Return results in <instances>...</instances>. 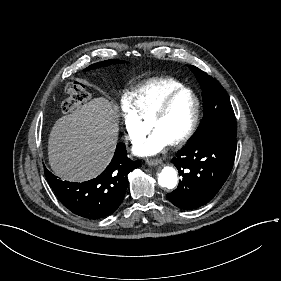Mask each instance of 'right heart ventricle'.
Instances as JSON below:
<instances>
[{
    "label": "right heart ventricle",
    "mask_w": 281,
    "mask_h": 281,
    "mask_svg": "<svg viewBox=\"0 0 281 281\" xmlns=\"http://www.w3.org/2000/svg\"><path fill=\"white\" fill-rule=\"evenodd\" d=\"M183 88L186 86L179 80L165 78L156 81L149 87L128 93L125 101L133 108L139 121L143 124L169 95Z\"/></svg>",
    "instance_id": "1"
}]
</instances>
